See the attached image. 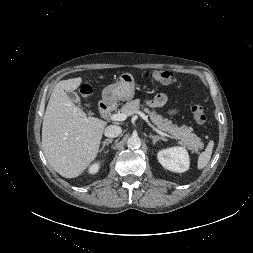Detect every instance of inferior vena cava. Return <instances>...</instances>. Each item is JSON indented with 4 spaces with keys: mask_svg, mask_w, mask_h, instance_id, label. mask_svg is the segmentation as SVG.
<instances>
[{
    "mask_svg": "<svg viewBox=\"0 0 253 253\" xmlns=\"http://www.w3.org/2000/svg\"><path fill=\"white\" fill-rule=\"evenodd\" d=\"M122 132V129L120 126L117 125H110L107 126L104 130V135L109 138H115L118 137Z\"/></svg>",
    "mask_w": 253,
    "mask_h": 253,
    "instance_id": "602c4592",
    "label": "inferior vena cava"
}]
</instances>
